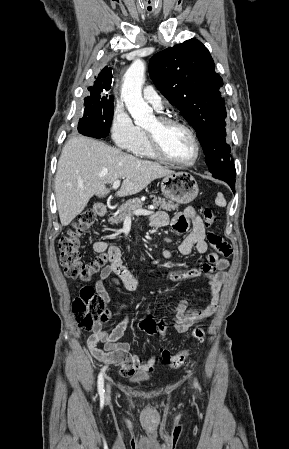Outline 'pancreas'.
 Segmentation results:
<instances>
[{"label":"pancreas","mask_w":289,"mask_h":449,"mask_svg":"<svg viewBox=\"0 0 289 449\" xmlns=\"http://www.w3.org/2000/svg\"><path fill=\"white\" fill-rule=\"evenodd\" d=\"M153 206L154 208L160 207L163 210L171 211V210H177L178 205L174 204L172 202H167L165 199L160 197H154L153 199ZM143 202L141 198H134L132 200H128L126 203H124L119 210L111 216L108 221L111 224H119L121 223L127 216L134 214L133 212L137 209H142Z\"/></svg>","instance_id":"cf45deb5"}]
</instances>
